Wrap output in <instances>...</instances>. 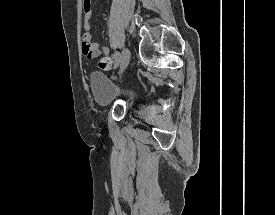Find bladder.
Returning a JSON list of instances; mask_svg holds the SVG:
<instances>
[{
  "instance_id": "1",
  "label": "bladder",
  "mask_w": 275,
  "mask_h": 215,
  "mask_svg": "<svg viewBox=\"0 0 275 215\" xmlns=\"http://www.w3.org/2000/svg\"><path fill=\"white\" fill-rule=\"evenodd\" d=\"M90 85L95 102L100 107L111 105L118 100L130 102L135 97L133 88L113 84L110 77L100 71L91 73Z\"/></svg>"
}]
</instances>
